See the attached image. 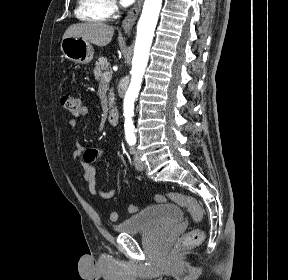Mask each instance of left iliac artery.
Returning a JSON list of instances; mask_svg holds the SVG:
<instances>
[{
    "label": "left iliac artery",
    "mask_w": 288,
    "mask_h": 280,
    "mask_svg": "<svg viewBox=\"0 0 288 280\" xmlns=\"http://www.w3.org/2000/svg\"><path fill=\"white\" fill-rule=\"evenodd\" d=\"M129 144H130L131 146H133V145L135 144V142H130Z\"/></svg>",
    "instance_id": "1"
}]
</instances>
